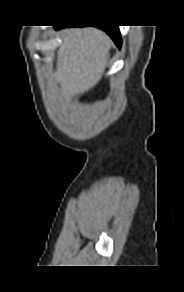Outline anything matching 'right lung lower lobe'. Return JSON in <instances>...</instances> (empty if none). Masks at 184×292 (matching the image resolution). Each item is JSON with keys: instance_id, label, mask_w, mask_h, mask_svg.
I'll use <instances>...</instances> for the list:
<instances>
[{"instance_id": "right-lung-lower-lobe-1", "label": "right lung lower lobe", "mask_w": 184, "mask_h": 292, "mask_svg": "<svg viewBox=\"0 0 184 292\" xmlns=\"http://www.w3.org/2000/svg\"><path fill=\"white\" fill-rule=\"evenodd\" d=\"M57 29L63 28V27H77V26H55ZM100 29L106 31L107 34L110 35V37L113 39L115 44L120 47L121 46V37L120 32L118 29V26H109V27H102V26H96Z\"/></svg>"}]
</instances>
